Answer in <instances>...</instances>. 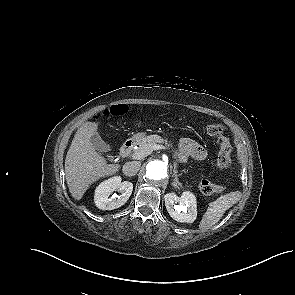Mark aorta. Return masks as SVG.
I'll list each match as a JSON object with an SVG mask.
<instances>
[{
    "mask_svg": "<svg viewBox=\"0 0 295 295\" xmlns=\"http://www.w3.org/2000/svg\"><path fill=\"white\" fill-rule=\"evenodd\" d=\"M145 177L152 184L162 182L168 178V167L161 160H152L146 166Z\"/></svg>",
    "mask_w": 295,
    "mask_h": 295,
    "instance_id": "obj_1",
    "label": "aorta"
}]
</instances>
